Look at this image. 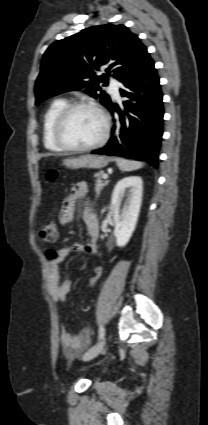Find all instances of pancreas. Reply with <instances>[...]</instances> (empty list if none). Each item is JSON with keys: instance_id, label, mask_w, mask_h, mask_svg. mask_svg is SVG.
Returning a JSON list of instances; mask_svg holds the SVG:
<instances>
[{"instance_id": "obj_1", "label": "pancreas", "mask_w": 208, "mask_h": 425, "mask_svg": "<svg viewBox=\"0 0 208 425\" xmlns=\"http://www.w3.org/2000/svg\"><path fill=\"white\" fill-rule=\"evenodd\" d=\"M101 177H102V175L98 174L97 179L95 181L96 182V184H95L96 198L99 197L103 187H105L108 184V181H102Z\"/></svg>"}]
</instances>
